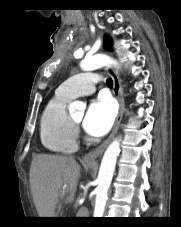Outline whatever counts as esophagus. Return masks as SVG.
<instances>
[{
    "label": "esophagus",
    "mask_w": 181,
    "mask_h": 227,
    "mask_svg": "<svg viewBox=\"0 0 181 227\" xmlns=\"http://www.w3.org/2000/svg\"><path fill=\"white\" fill-rule=\"evenodd\" d=\"M106 70L113 79V94L119 102V112H118L115 124L113 126L112 132L109 135V137L101 145H99L97 148L90 151L83 157L84 162H87V163L94 162L100 156H102L106 147L108 146V144L111 142V140L115 136V134L118 130L120 121L122 119L123 112H124V98H123V90L121 87L120 79H119L117 73L113 69L107 68Z\"/></svg>",
    "instance_id": "esophagus-1"
}]
</instances>
